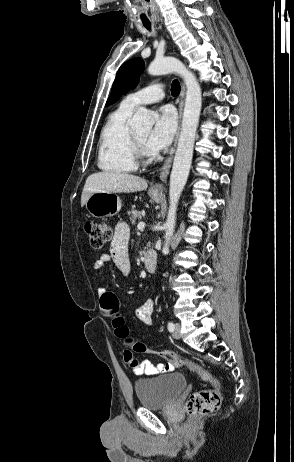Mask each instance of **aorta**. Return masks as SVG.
<instances>
[{
	"instance_id": "aorta-1",
	"label": "aorta",
	"mask_w": 294,
	"mask_h": 462,
	"mask_svg": "<svg viewBox=\"0 0 294 462\" xmlns=\"http://www.w3.org/2000/svg\"><path fill=\"white\" fill-rule=\"evenodd\" d=\"M173 72L179 74L185 81L186 99L181 132L170 175L169 210L164 225L165 242L162 249L163 253L169 251L170 240L174 233L177 205L190 172L195 135L202 106L200 85L195 75L181 61L173 57L158 58L152 61L148 67V73L154 76ZM130 125L138 131H150L153 121L149 111L143 107L139 108Z\"/></svg>"
}]
</instances>
